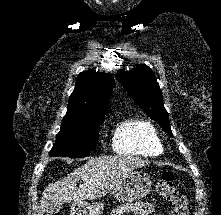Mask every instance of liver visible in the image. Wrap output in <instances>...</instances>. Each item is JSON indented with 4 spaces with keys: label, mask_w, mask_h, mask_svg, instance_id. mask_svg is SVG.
Listing matches in <instances>:
<instances>
[{
    "label": "liver",
    "mask_w": 221,
    "mask_h": 215,
    "mask_svg": "<svg viewBox=\"0 0 221 215\" xmlns=\"http://www.w3.org/2000/svg\"><path fill=\"white\" fill-rule=\"evenodd\" d=\"M132 156H100L89 159L64 179L42 193L38 215H43L50 203H80L95 200L115 189L134 169L148 165ZM82 183L77 186V182Z\"/></svg>",
    "instance_id": "1"
}]
</instances>
